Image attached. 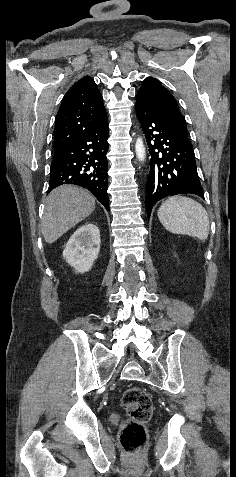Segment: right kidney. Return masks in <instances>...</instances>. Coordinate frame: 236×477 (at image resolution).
<instances>
[{"label":"right kidney","mask_w":236,"mask_h":477,"mask_svg":"<svg viewBox=\"0 0 236 477\" xmlns=\"http://www.w3.org/2000/svg\"><path fill=\"white\" fill-rule=\"evenodd\" d=\"M100 231L93 224H84L70 237L63 257L76 272L89 271L100 251Z\"/></svg>","instance_id":"ca27d5eb"}]
</instances>
